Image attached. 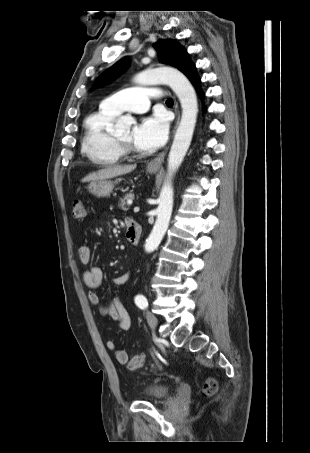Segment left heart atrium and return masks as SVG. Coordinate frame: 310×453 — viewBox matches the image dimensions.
<instances>
[{
	"instance_id": "left-heart-atrium-1",
	"label": "left heart atrium",
	"mask_w": 310,
	"mask_h": 453,
	"mask_svg": "<svg viewBox=\"0 0 310 453\" xmlns=\"http://www.w3.org/2000/svg\"><path fill=\"white\" fill-rule=\"evenodd\" d=\"M168 134V122L163 115L144 117L132 132V142L138 149L152 151L164 144Z\"/></svg>"
}]
</instances>
